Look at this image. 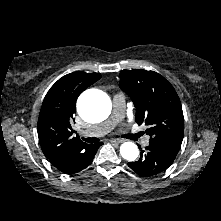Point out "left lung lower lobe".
<instances>
[{"mask_svg": "<svg viewBox=\"0 0 221 221\" xmlns=\"http://www.w3.org/2000/svg\"><path fill=\"white\" fill-rule=\"evenodd\" d=\"M179 149L163 143L149 142L146 151H141L140 159L128 163L138 175L151 177L164 172L174 161Z\"/></svg>", "mask_w": 221, "mask_h": 221, "instance_id": "left-lung-lower-lobe-1", "label": "left lung lower lobe"}]
</instances>
